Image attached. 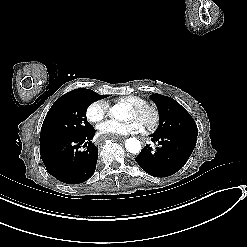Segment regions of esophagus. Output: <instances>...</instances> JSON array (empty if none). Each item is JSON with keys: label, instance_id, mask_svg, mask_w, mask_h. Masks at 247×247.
I'll return each mask as SVG.
<instances>
[{"label": "esophagus", "instance_id": "esophagus-1", "mask_svg": "<svg viewBox=\"0 0 247 247\" xmlns=\"http://www.w3.org/2000/svg\"><path fill=\"white\" fill-rule=\"evenodd\" d=\"M138 141H141V137L137 136ZM142 143L145 144V140H142Z\"/></svg>", "mask_w": 247, "mask_h": 247}]
</instances>
